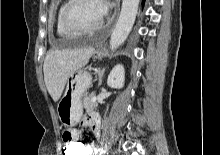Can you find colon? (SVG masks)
<instances>
[{
	"label": "colon",
	"instance_id": "obj_1",
	"mask_svg": "<svg viewBox=\"0 0 220 155\" xmlns=\"http://www.w3.org/2000/svg\"><path fill=\"white\" fill-rule=\"evenodd\" d=\"M64 145L61 146V155H84L88 143L82 142V139H76V141H65Z\"/></svg>",
	"mask_w": 220,
	"mask_h": 155
}]
</instances>
